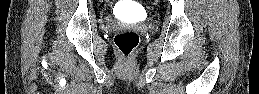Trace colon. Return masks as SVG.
<instances>
[{"mask_svg":"<svg viewBox=\"0 0 259 94\" xmlns=\"http://www.w3.org/2000/svg\"><path fill=\"white\" fill-rule=\"evenodd\" d=\"M139 43V35L134 30H124L116 34L115 45L122 57L123 63L128 65L131 56Z\"/></svg>","mask_w":259,"mask_h":94,"instance_id":"obj_1","label":"colon"}]
</instances>
